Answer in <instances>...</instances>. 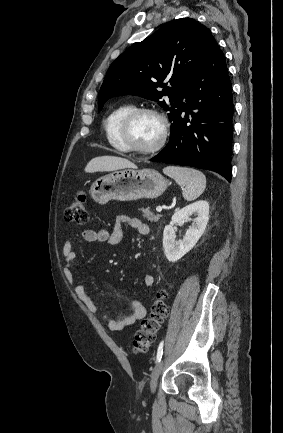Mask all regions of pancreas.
<instances>
[{"label": "pancreas", "instance_id": "obj_1", "mask_svg": "<svg viewBox=\"0 0 283 433\" xmlns=\"http://www.w3.org/2000/svg\"><path fill=\"white\" fill-rule=\"evenodd\" d=\"M150 206H147V208H139V210H142L143 214L142 217H145V219H148L150 223H154V221H158L159 214H154L152 210H149Z\"/></svg>", "mask_w": 283, "mask_h": 433}]
</instances>
